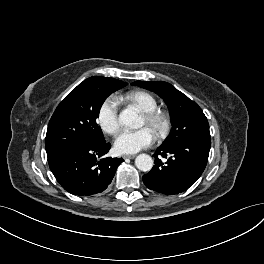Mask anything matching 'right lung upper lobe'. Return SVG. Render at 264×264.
Here are the masks:
<instances>
[{
    "mask_svg": "<svg viewBox=\"0 0 264 264\" xmlns=\"http://www.w3.org/2000/svg\"><path fill=\"white\" fill-rule=\"evenodd\" d=\"M91 78H107V77L95 76V77H91ZM111 79H114V78H111Z\"/></svg>",
    "mask_w": 264,
    "mask_h": 264,
    "instance_id": "obj_1",
    "label": "right lung upper lobe"
}]
</instances>
